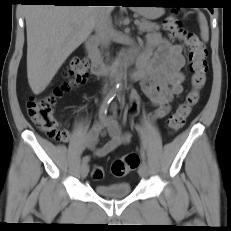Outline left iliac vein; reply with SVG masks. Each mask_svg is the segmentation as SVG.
Segmentation results:
<instances>
[{
  "label": "left iliac vein",
  "instance_id": "left-iliac-vein-1",
  "mask_svg": "<svg viewBox=\"0 0 231 231\" xmlns=\"http://www.w3.org/2000/svg\"><path fill=\"white\" fill-rule=\"evenodd\" d=\"M138 172L142 178H147L149 174L148 165L146 163H141V165L139 166Z\"/></svg>",
  "mask_w": 231,
  "mask_h": 231
}]
</instances>
